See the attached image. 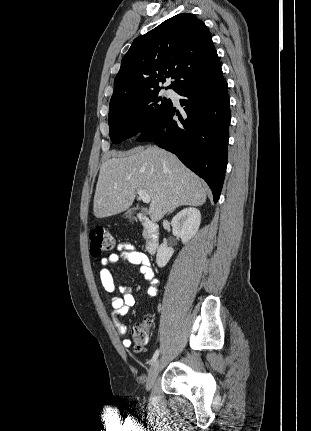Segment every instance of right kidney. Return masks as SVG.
I'll use <instances>...</instances> for the list:
<instances>
[{"label": "right kidney", "instance_id": "1", "mask_svg": "<svg viewBox=\"0 0 311 431\" xmlns=\"http://www.w3.org/2000/svg\"><path fill=\"white\" fill-rule=\"evenodd\" d=\"M201 221L200 210L197 208H184L178 212L171 221L173 235L181 237L182 243H187L199 229ZM173 247H167L166 243H161L156 253V263L159 267H164L173 255Z\"/></svg>", "mask_w": 311, "mask_h": 431}]
</instances>
